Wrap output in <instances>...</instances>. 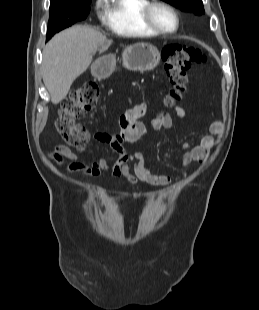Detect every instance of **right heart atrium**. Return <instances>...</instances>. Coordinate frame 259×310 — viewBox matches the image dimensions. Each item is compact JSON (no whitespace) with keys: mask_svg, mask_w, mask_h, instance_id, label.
I'll list each match as a JSON object with an SVG mask.
<instances>
[{"mask_svg":"<svg viewBox=\"0 0 259 310\" xmlns=\"http://www.w3.org/2000/svg\"><path fill=\"white\" fill-rule=\"evenodd\" d=\"M106 1L107 0H95L94 1V12L98 19L106 20Z\"/></svg>","mask_w":259,"mask_h":310,"instance_id":"right-heart-atrium-1","label":"right heart atrium"}]
</instances>
